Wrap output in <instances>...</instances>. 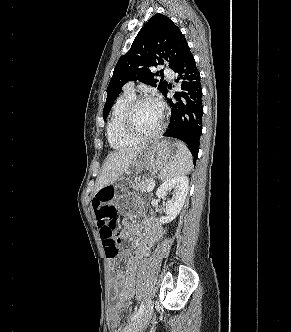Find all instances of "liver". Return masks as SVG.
<instances>
[{
    "instance_id": "1",
    "label": "liver",
    "mask_w": 291,
    "mask_h": 332,
    "mask_svg": "<svg viewBox=\"0 0 291 332\" xmlns=\"http://www.w3.org/2000/svg\"><path fill=\"white\" fill-rule=\"evenodd\" d=\"M145 146L120 149L111 153L105 160L98 176L95 193L102 188L113 185L132 166L138 154Z\"/></svg>"
}]
</instances>
